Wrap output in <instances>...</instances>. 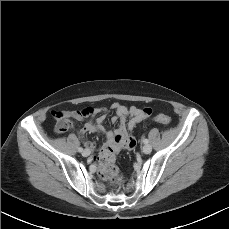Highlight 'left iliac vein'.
Segmentation results:
<instances>
[{
    "label": "left iliac vein",
    "instance_id": "1",
    "mask_svg": "<svg viewBox=\"0 0 229 229\" xmlns=\"http://www.w3.org/2000/svg\"><path fill=\"white\" fill-rule=\"evenodd\" d=\"M151 151H152V146L149 144L144 145L142 148V152L145 154H149L151 153Z\"/></svg>",
    "mask_w": 229,
    "mask_h": 229
}]
</instances>
